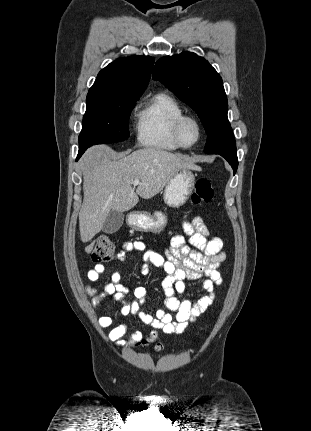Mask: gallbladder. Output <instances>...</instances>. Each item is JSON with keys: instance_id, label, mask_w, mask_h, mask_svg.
Masks as SVG:
<instances>
[{"instance_id": "gallbladder-1", "label": "gallbladder", "mask_w": 311, "mask_h": 431, "mask_svg": "<svg viewBox=\"0 0 311 431\" xmlns=\"http://www.w3.org/2000/svg\"><path fill=\"white\" fill-rule=\"evenodd\" d=\"M123 221V212H110L103 223L102 231H105V233H115L123 225Z\"/></svg>"}]
</instances>
